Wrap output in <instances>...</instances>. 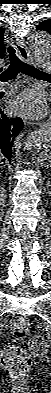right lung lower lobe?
Returning <instances> with one entry per match:
<instances>
[{
	"mask_svg": "<svg viewBox=\"0 0 51 393\" xmlns=\"http://www.w3.org/2000/svg\"><path fill=\"white\" fill-rule=\"evenodd\" d=\"M1 98V94H0ZM23 128L21 118L7 117L0 106V155L4 156L11 162L12 145L15 137Z\"/></svg>",
	"mask_w": 51,
	"mask_h": 393,
	"instance_id": "98d812e1",
	"label": "right lung lower lobe"
}]
</instances>
